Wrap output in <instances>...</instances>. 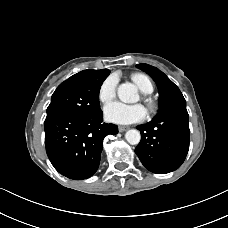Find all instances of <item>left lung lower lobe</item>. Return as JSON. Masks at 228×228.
<instances>
[{
    "label": "left lung lower lobe",
    "mask_w": 228,
    "mask_h": 228,
    "mask_svg": "<svg viewBox=\"0 0 228 228\" xmlns=\"http://www.w3.org/2000/svg\"><path fill=\"white\" fill-rule=\"evenodd\" d=\"M136 128L141 132V141L135 153L149 171L166 174L182 165L190 136L186 103L177 104Z\"/></svg>",
    "instance_id": "0a47b994"
}]
</instances>
